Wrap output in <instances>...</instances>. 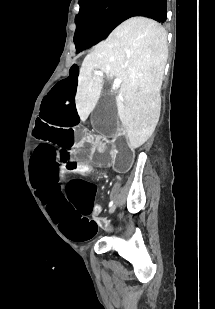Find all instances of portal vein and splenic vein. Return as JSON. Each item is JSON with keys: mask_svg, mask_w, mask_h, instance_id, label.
<instances>
[{"mask_svg": "<svg viewBox=\"0 0 215 309\" xmlns=\"http://www.w3.org/2000/svg\"><path fill=\"white\" fill-rule=\"evenodd\" d=\"M94 74H99V76H103V72H101V70H94ZM121 82V78H114V84H116V86H120Z\"/></svg>", "mask_w": 215, "mask_h": 309, "instance_id": "obj_1", "label": "portal vein and splenic vein"}]
</instances>
